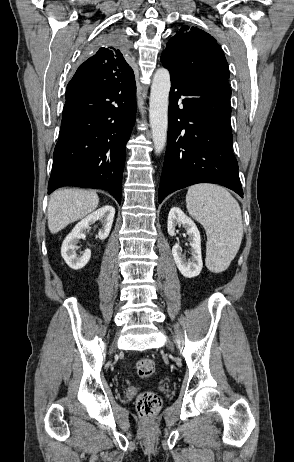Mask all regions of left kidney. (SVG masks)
<instances>
[{
  "instance_id": "5707ae66",
  "label": "left kidney",
  "mask_w": 294,
  "mask_h": 462,
  "mask_svg": "<svg viewBox=\"0 0 294 462\" xmlns=\"http://www.w3.org/2000/svg\"><path fill=\"white\" fill-rule=\"evenodd\" d=\"M178 224L182 225L187 231L192 257L190 260L186 261L178 245L173 246L172 254L181 274L186 278H193L200 274L203 267L200 232L191 218L186 216L180 208L173 207L169 212L167 224L170 236L175 235L176 226Z\"/></svg>"
}]
</instances>
